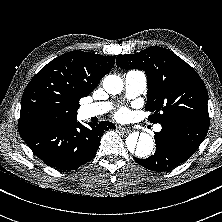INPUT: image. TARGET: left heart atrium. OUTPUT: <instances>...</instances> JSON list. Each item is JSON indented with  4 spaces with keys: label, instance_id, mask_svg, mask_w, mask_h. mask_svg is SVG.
<instances>
[{
    "label": "left heart atrium",
    "instance_id": "obj_1",
    "mask_svg": "<svg viewBox=\"0 0 222 222\" xmlns=\"http://www.w3.org/2000/svg\"><path fill=\"white\" fill-rule=\"evenodd\" d=\"M128 116V110L123 108L120 109L117 113H116V118L119 120H123Z\"/></svg>",
    "mask_w": 222,
    "mask_h": 222
}]
</instances>
